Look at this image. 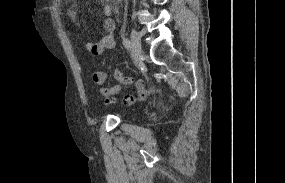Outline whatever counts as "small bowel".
Listing matches in <instances>:
<instances>
[{
  "instance_id": "small-bowel-1",
  "label": "small bowel",
  "mask_w": 285,
  "mask_h": 183,
  "mask_svg": "<svg viewBox=\"0 0 285 183\" xmlns=\"http://www.w3.org/2000/svg\"><path fill=\"white\" fill-rule=\"evenodd\" d=\"M100 5L102 7V12L104 15L103 20V29L105 31V35L96 42H87L86 49L92 55H100L107 49H113L116 46L114 31H115V22L111 18L112 14V0H99ZM67 15L70 17L72 23L80 28V22L78 21L76 14L72 8H68L66 10ZM115 78L123 84H131L133 80L128 77H124L122 73L117 69L115 70ZM107 79V75L103 71H94L92 73V81L99 87L100 94L104 97L103 104L109 105L114 102V96L118 94L121 90L120 84L113 85L111 87H105V82ZM137 93L139 97L146 96L148 91L145 90L142 81L136 82ZM135 100V97L132 95L125 96L124 102L126 104H132Z\"/></svg>"
}]
</instances>
